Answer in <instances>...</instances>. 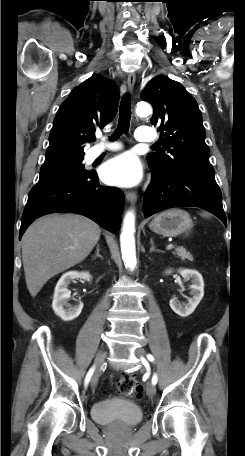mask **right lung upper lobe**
I'll use <instances>...</instances> for the list:
<instances>
[{
	"mask_svg": "<svg viewBox=\"0 0 245 456\" xmlns=\"http://www.w3.org/2000/svg\"><path fill=\"white\" fill-rule=\"evenodd\" d=\"M118 100L117 86L99 75L75 87L54 118L41 168L83 159L84 144L96 128H103L114 118Z\"/></svg>",
	"mask_w": 245,
	"mask_h": 456,
	"instance_id": "1",
	"label": "right lung upper lobe"
}]
</instances>
